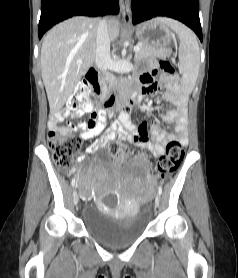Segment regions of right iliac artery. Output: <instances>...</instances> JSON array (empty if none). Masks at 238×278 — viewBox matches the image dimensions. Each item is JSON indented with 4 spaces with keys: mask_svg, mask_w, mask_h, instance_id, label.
I'll list each match as a JSON object with an SVG mask.
<instances>
[{
    "mask_svg": "<svg viewBox=\"0 0 238 278\" xmlns=\"http://www.w3.org/2000/svg\"><path fill=\"white\" fill-rule=\"evenodd\" d=\"M71 185H72V187H74V186H75V178H73V179H72V181H71Z\"/></svg>",
    "mask_w": 238,
    "mask_h": 278,
    "instance_id": "1",
    "label": "right iliac artery"
}]
</instances>
